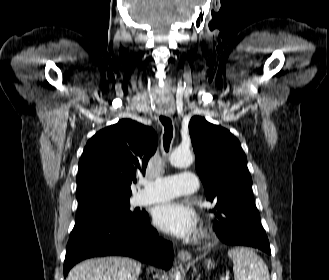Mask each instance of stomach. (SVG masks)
Instances as JSON below:
<instances>
[{
  "mask_svg": "<svg viewBox=\"0 0 329 280\" xmlns=\"http://www.w3.org/2000/svg\"><path fill=\"white\" fill-rule=\"evenodd\" d=\"M204 264L208 269H210L214 266V263L211 260H206Z\"/></svg>",
  "mask_w": 329,
  "mask_h": 280,
  "instance_id": "0dacf381",
  "label": "stomach"
}]
</instances>
